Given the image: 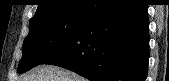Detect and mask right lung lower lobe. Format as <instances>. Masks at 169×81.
<instances>
[{
    "mask_svg": "<svg viewBox=\"0 0 169 81\" xmlns=\"http://www.w3.org/2000/svg\"><path fill=\"white\" fill-rule=\"evenodd\" d=\"M148 59V5L118 0L88 18L41 64L69 69L91 81H145Z\"/></svg>",
    "mask_w": 169,
    "mask_h": 81,
    "instance_id": "obj_1",
    "label": "right lung lower lobe"
}]
</instances>
